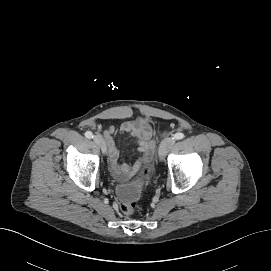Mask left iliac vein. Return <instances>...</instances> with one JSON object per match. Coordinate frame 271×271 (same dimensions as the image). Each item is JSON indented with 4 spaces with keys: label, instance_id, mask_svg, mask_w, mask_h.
<instances>
[{
    "label": "left iliac vein",
    "instance_id": "left-iliac-vein-1",
    "mask_svg": "<svg viewBox=\"0 0 271 271\" xmlns=\"http://www.w3.org/2000/svg\"><path fill=\"white\" fill-rule=\"evenodd\" d=\"M175 144V138L170 137L162 141L159 147V159L162 161L171 147Z\"/></svg>",
    "mask_w": 271,
    "mask_h": 271
}]
</instances>
